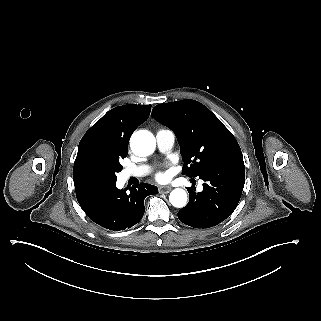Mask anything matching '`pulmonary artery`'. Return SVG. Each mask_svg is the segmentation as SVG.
I'll return each instance as SVG.
<instances>
[{
    "instance_id": "obj_1",
    "label": "pulmonary artery",
    "mask_w": 321,
    "mask_h": 321,
    "mask_svg": "<svg viewBox=\"0 0 321 321\" xmlns=\"http://www.w3.org/2000/svg\"><path fill=\"white\" fill-rule=\"evenodd\" d=\"M158 147L161 151L170 150L175 142V133L171 129L160 128L156 132ZM149 167L144 164L136 165L131 168H125L120 173V178L126 180L130 177H143L149 173Z\"/></svg>"
}]
</instances>
